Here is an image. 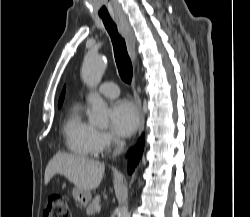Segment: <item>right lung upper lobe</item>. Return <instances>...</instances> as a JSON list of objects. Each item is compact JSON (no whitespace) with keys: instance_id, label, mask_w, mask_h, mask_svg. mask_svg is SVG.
Instances as JSON below:
<instances>
[{"instance_id":"right-lung-upper-lobe-1","label":"right lung upper lobe","mask_w":250,"mask_h":217,"mask_svg":"<svg viewBox=\"0 0 250 217\" xmlns=\"http://www.w3.org/2000/svg\"><path fill=\"white\" fill-rule=\"evenodd\" d=\"M64 95H65V88L63 89L62 94L60 96L58 107H60L62 105V102H63V99H64Z\"/></svg>"}]
</instances>
